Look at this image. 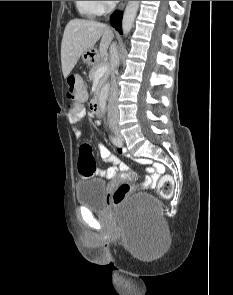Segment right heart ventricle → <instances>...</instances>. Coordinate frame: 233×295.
<instances>
[{"label": "right heart ventricle", "mask_w": 233, "mask_h": 295, "mask_svg": "<svg viewBox=\"0 0 233 295\" xmlns=\"http://www.w3.org/2000/svg\"><path fill=\"white\" fill-rule=\"evenodd\" d=\"M75 5L79 14L87 18H94L102 12L97 1H75Z\"/></svg>", "instance_id": "1"}]
</instances>
